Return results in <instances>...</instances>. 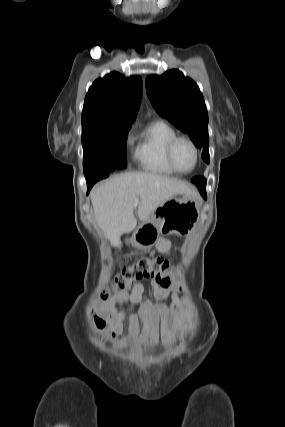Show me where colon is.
<instances>
[{
	"mask_svg": "<svg viewBox=\"0 0 285 427\" xmlns=\"http://www.w3.org/2000/svg\"><path fill=\"white\" fill-rule=\"evenodd\" d=\"M150 279L157 282L160 286L168 288L176 284L178 280V271L169 267L168 262L162 257L149 258L142 257L136 264L124 268L121 273L112 282V290H125L136 280ZM111 290L104 289L103 297H108ZM97 327H103L102 320L95 318Z\"/></svg>",
	"mask_w": 285,
	"mask_h": 427,
	"instance_id": "colon-1",
	"label": "colon"
}]
</instances>
